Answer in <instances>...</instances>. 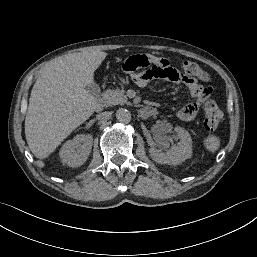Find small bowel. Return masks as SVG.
<instances>
[{
	"instance_id": "c3829d8e",
	"label": "small bowel",
	"mask_w": 257,
	"mask_h": 257,
	"mask_svg": "<svg viewBox=\"0 0 257 257\" xmlns=\"http://www.w3.org/2000/svg\"><path fill=\"white\" fill-rule=\"evenodd\" d=\"M123 69L131 76L133 85L138 88L149 86L152 80L162 79L174 83L178 88L190 91L196 100L178 110L176 115L182 121H193L197 117L201 100L210 95V90L200 86L193 75L166 60L152 57L149 53H138L126 57Z\"/></svg>"
}]
</instances>
